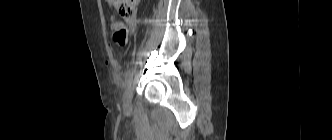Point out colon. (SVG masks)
<instances>
[{
    "mask_svg": "<svg viewBox=\"0 0 332 140\" xmlns=\"http://www.w3.org/2000/svg\"><path fill=\"white\" fill-rule=\"evenodd\" d=\"M109 5L115 9L118 14L125 18L131 19L136 15L137 7L140 0H106ZM111 28L113 31V39L118 44H124L127 39V30L125 26L113 19L111 22Z\"/></svg>",
    "mask_w": 332,
    "mask_h": 140,
    "instance_id": "obj_1",
    "label": "colon"
}]
</instances>
